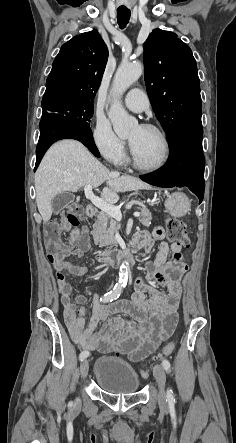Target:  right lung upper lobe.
I'll list each match as a JSON object with an SVG mask.
<instances>
[{
	"mask_svg": "<svg viewBox=\"0 0 236 443\" xmlns=\"http://www.w3.org/2000/svg\"><path fill=\"white\" fill-rule=\"evenodd\" d=\"M108 60V48L97 30L63 44L47 78L42 102L57 96L92 101Z\"/></svg>",
	"mask_w": 236,
	"mask_h": 443,
	"instance_id": "right-lung-upper-lobe-1",
	"label": "right lung upper lobe"
}]
</instances>
